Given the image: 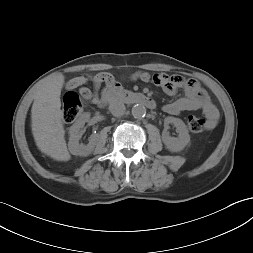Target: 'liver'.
Returning a JSON list of instances; mask_svg holds the SVG:
<instances>
[{
	"label": "liver",
	"instance_id": "obj_1",
	"mask_svg": "<svg viewBox=\"0 0 253 253\" xmlns=\"http://www.w3.org/2000/svg\"><path fill=\"white\" fill-rule=\"evenodd\" d=\"M65 78L59 74L44 83L36 92L31 108V127L38 149L57 161H68L71 156L65 141L61 90Z\"/></svg>",
	"mask_w": 253,
	"mask_h": 253
}]
</instances>
